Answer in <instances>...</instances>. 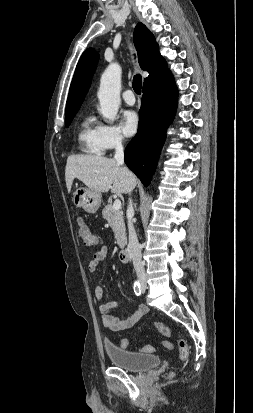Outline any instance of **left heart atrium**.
Returning <instances> with one entry per match:
<instances>
[{"label": "left heart atrium", "mask_w": 253, "mask_h": 413, "mask_svg": "<svg viewBox=\"0 0 253 413\" xmlns=\"http://www.w3.org/2000/svg\"><path fill=\"white\" fill-rule=\"evenodd\" d=\"M139 128V116L133 110H128L123 113L121 121V129L123 133L130 137L133 136Z\"/></svg>", "instance_id": "left-heart-atrium-1"}]
</instances>
